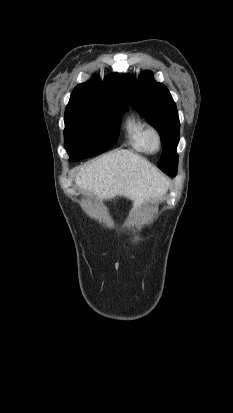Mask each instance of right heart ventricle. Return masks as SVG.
<instances>
[{
    "mask_svg": "<svg viewBox=\"0 0 233 413\" xmlns=\"http://www.w3.org/2000/svg\"><path fill=\"white\" fill-rule=\"evenodd\" d=\"M148 128L146 121L136 113H129L124 119V135L134 150L139 152L149 151L146 145V132Z\"/></svg>",
    "mask_w": 233,
    "mask_h": 413,
    "instance_id": "1",
    "label": "right heart ventricle"
}]
</instances>
